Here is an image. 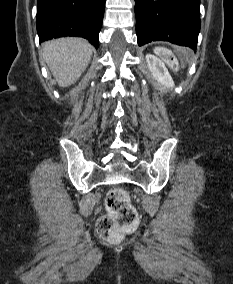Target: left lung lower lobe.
Listing matches in <instances>:
<instances>
[{"label":"left lung lower lobe","mask_w":233,"mask_h":284,"mask_svg":"<svg viewBox=\"0 0 233 284\" xmlns=\"http://www.w3.org/2000/svg\"><path fill=\"white\" fill-rule=\"evenodd\" d=\"M138 45L162 40L196 50L200 0H135Z\"/></svg>","instance_id":"1"}]
</instances>
